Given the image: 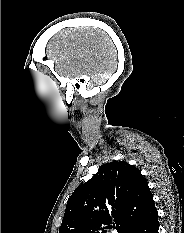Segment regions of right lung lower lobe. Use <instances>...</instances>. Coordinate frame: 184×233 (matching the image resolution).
Returning a JSON list of instances; mask_svg holds the SVG:
<instances>
[{
    "instance_id": "obj_1",
    "label": "right lung lower lobe",
    "mask_w": 184,
    "mask_h": 233,
    "mask_svg": "<svg viewBox=\"0 0 184 233\" xmlns=\"http://www.w3.org/2000/svg\"><path fill=\"white\" fill-rule=\"evenodd\" d=\"M122 233H158V214L155 204L127 226Z\"/></svg>"
}]
</instances>
